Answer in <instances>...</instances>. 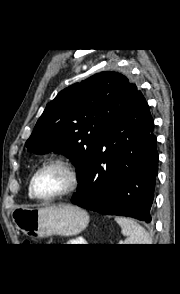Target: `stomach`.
<instances>
[{"mask_svg": "<svg viewBox=\"0 0 180 294\" xmlns=\"http://www.w3.org/2000/svg\"><path fill=\"white\" fill-rule=\"evenodd\" d=\"M12 219L16 228L31 238L74 236L89 223V215L85 210L69 204L19 207L13 211Z\"/></svg>", "mask_w": 180, "mask_h": 294, "instance_id": "0dacf381", "label": "stomach"}]
</instances>
